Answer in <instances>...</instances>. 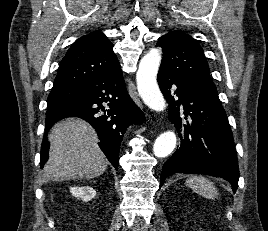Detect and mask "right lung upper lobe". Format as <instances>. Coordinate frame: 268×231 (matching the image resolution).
<instances>
[{
    "label": "right lung upper lobe",
    "mask_w": 268,
    "mask_h": 231,
    "mask_svg": "<svg viewBox=\"0 0 268 231\" xmlns=\"http://www.w3.org/2000/svg\"><path fill=\"white\" fill-rule=\"evenodd\" d=\"M119 61L113 44L101 32L95 31L76 40L62 59L53 88L84 87L103 75ZM55 105H50L51 107Z\"/></svg>",
    "instance_id": "right-lung-upper-lobe-1"
}]
</instances>
